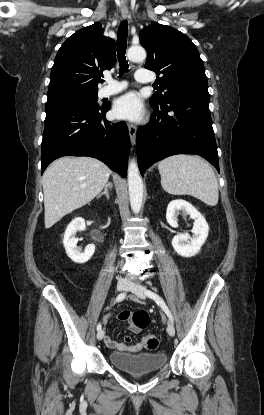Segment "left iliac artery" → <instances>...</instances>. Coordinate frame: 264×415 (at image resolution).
Here are the masks:
<instances>
[{
    "instance_id": "obj_1",
    "label": "left iliac artery",
    "mask_w": 264,
    "mask_h": 415,
    "mask_svg": "<svg viewBox=\"0 0 264 415\" xmlns=\"http://www.w3.org/2000/svg\"><path fill=\"white\" fill-rule=\"evenodd\" d=\"M145 294L153 299L163 310L164 312L167 314L169 320L173 323V316L168 308V306L166 305V303L164 302V300L155 292L151 291V290H146Z\"/></svg>"
}]
</instances>
